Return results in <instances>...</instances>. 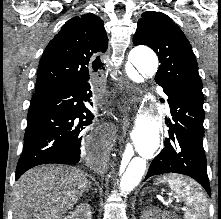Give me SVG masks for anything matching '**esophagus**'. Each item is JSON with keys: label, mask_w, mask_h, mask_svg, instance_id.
I'll use <instances>...</instances> for the list:
<instances>
[{"label": "esophagus", "mask_w": 221, "mask_h": 219, "mask_svg": "<svg viewBox=\"0 0 221 219\" xmlns=\"http://www.w3.org/2000/svg\"><path fill=\"white\" fill-rule=\"evenodd\" d=\"M125 86H126V93L127 95L125 96V99H124V110H128L130 108V105L136 101V90L134 89V87L129 84V82L127 81L125 83Z\"/></svg>", "instance_id": "esophagus-1"}]
</instances>
